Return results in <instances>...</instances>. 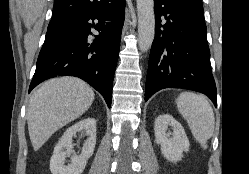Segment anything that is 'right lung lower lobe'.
Returning <instances> with one entry per match:
<instances>
[{
  "instance_id": "right-lung-lower-lobe-1",
  "label": "right lung lower lobe",
  "mask_w": 249,
  "mask_h": 174,
  "mask_svg": "<svg viewBox=\"0 0 249 174\" xmlns=\"http://www.w3.org/2000/svg\"><path fill=\"white\" fill-rule=\"evenodd\" d=\"M124 17L125 0H115L107 8L48 27L29 92L49 78L75 76L101 93L110 107ZM94 19L97 25L90 22ZM92 27L100 34L91 43Z\"/></svg>"
}]
</instances>
